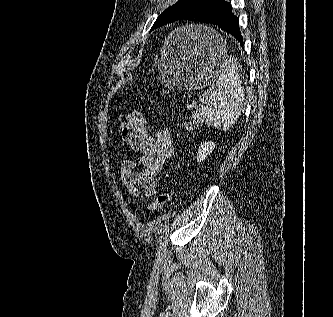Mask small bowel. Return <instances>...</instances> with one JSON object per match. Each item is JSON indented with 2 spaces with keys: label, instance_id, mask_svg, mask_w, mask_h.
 Listing matches in <instances>:
<instances>
[{
  "label": "small bowel",
  "instance_id": "small-bowel-1",
  "mask_svg": "<svg viewBox=\"0 0 333 317\" xmlns=\"http://www.w3.org/2000/svg\"><path fill=\"white\" fill-rule=\"evenodd\" d=\"M152 133V134H151ZM122 140L140 154L138 159H126L119 165V180L134 197H146L157 191L158 176L174 153V138L162 125L151 124L140 110L127 114L120 126Z\"/></svg>",
  "mask_w": 333,
  "mask_h": 317
}]
</instances>
